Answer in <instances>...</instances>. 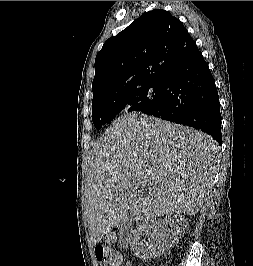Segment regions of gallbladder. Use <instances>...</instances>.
I'll list each match as a JSON object with an SVG mask.
<instances>
[{"label": "gallbladder", "mask_w": 253, "mask_h": 266, "mask_svg": "<svg viewBox=\"0 0 253 266\" xmlns=\"http://www.w3.org/2000/svg\"><path fill=\"white\" fill-rule=\"evenodd\" d=\"M126 226H129L128 224H123L122 226H121V229L120 230H123L124 228H126Z\"/></svg>", "instance_id": "gallbladder-1"}]
</instances>
